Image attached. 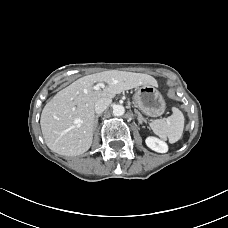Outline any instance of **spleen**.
Instances as JSON below:
<instances>
[{
  "label": "spleen",
  "instance_id": "3e777b00",
  "mask_svg": "<svg viewBox=\"0 0 228 228\" xmlns=\"http://www.w3.org/2000/svg\"><path fill=\"white\" fill-rule=\"evenodd\" d=\"M150 128L162 140H169L170 143L178 141L184 129V116L178 108H173V113L166 119H157L150 122Z\"/></svg>",
  "mask_w": 228,
  "mask_h": 228
}]
</instances>
